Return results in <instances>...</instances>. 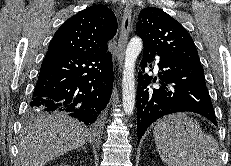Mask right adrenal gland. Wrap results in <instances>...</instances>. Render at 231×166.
Listing matches in <instances>:
<instances>
[{"label": "right adrenal gland", "mask_w": 231, "mask_h": 166, "mask_svg": "<svg viewBox=\"0 0 231 166\" xmlns=\"http://www.w3.org/2000/svg\"><path fill=\"white\" fill-rule=\"evenodd\" d=\"M81 149L84 150L85 152H87L86 149H85V147H81Z\"/></svg>", "instance_id": "1"}]
</instances>
